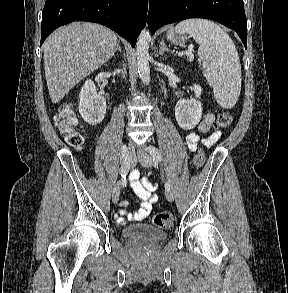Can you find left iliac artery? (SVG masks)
I'll return each mask as SVG.
<instances>
[{"label":"left iliac artery","mask_w":288,"mask_h":293,"mask_svg":"<svg viewBox=\"0 0 288 293\" xmlns=\"http://www.w3.org/2000/svg\"><path fill=\"white\" fill-rule=\"evenodd\" d=\"M148 151L153 159V162L155 163H159L162 161V155L161 152L158 150V148L154 147V146H149L148 147ZM165 189L166 190H170V184L169 182L165 183Z\"/></svg>","instance_id":"44dca946"}]
</instances>
